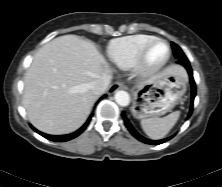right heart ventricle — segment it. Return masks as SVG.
<instances>
[{
    "mask_svg": "<svg viewBox=\"0 0 222 187\" xmlns=\"http://www.w3.org/2000/svg\"><path fill=\"white\" fill-rule=\"evenodd\" d=\"M155 37L131 35L112 40L107 46V56L117 67L127 70L135 66L141 50Z\"/></svg>",
    "mask_w": 222,
    "mask_h": 187,
    "instance_id": "1",
    "label": "right heart ventricle"
}]
</instances>
